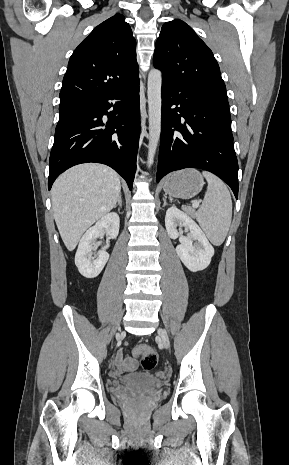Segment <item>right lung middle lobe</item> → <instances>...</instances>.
Masks as SVG:
<instances>
[{"label": "right lung middle lobe", "instance_id": "dd1d6c3e", "mask_svg": "<svg viewBox=\"0 0 289 465\" xmlns=\"http://www.w3.org/2000/svg\"><path fill=\"white\" fill-rule=\"evenodd\" d=\"M87 102H76L59 107V122L58 125L66 123L75 117L86 112Z\"/></svg>", "mask_w": 289, "mask_h": 465}]
</instances>
